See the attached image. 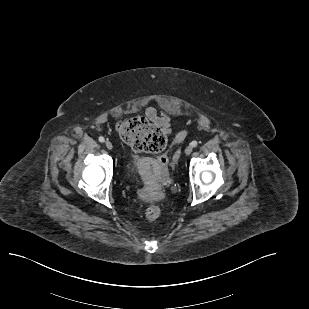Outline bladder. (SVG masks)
Instances as JSON below:
<instances>
[{"mask_svg": "<svg viewBox=\"0 0 309 309\" xmlns=\"http://www.w3.org/2000/svg\"><path fill=\"white\" fill-rule=\"evenodd\" d=\"M127 174L129 176H133L135 174V169H134V167L131 164L128 165Z\"/></svg>", "mask_w": 309, "mask_h": 309, "instance_id": "31cf9c89", "label": "bladder"}]
</instances>
